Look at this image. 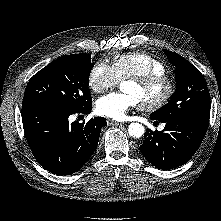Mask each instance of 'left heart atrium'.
I'll return each mask as SVG.
<instances>
[{"label":"left heart atrium","instance_id":"obj_1","mask_svg":"<svg viewBox=\"0 0 221 221\" xmlns=\"http://www.w3.org/2000/svg\"><path fill=\"white\" fill-rule=\"evenodd\" d=\"M136 105V99L130 94L110 93L97 100L96 111L101 116L123 120L128 111Z\"/></svg>","mask_w":221,"mask_h":221}]
</instances>
